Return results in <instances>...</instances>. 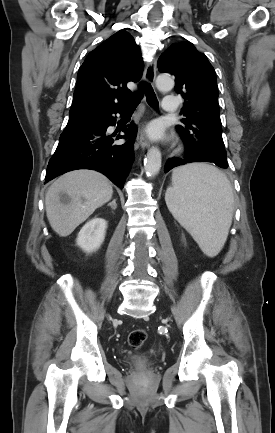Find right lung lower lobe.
<instances>
[{
  "label": "right lung lower lobe",
  "instance_id": "98d812e1",
  "mask_svg": "<svg viewBox=\"0 0 275 433\" xmlns=\"http://www.w3.org/2000/svg\"><path fill=\"white\" fill-rule=\"evenodd\" d=\"M124 108L97 110L68 122L60 136L58 147L51 157L46 181L75 169H92L105 174L119 188L124 182L134 160L136 127H124L125 135H107L106 130L116 123L113 114L123 113ZM127 139L122 145L115 140Z\"/></svg>",
  "mask_w": 275,
  "mask_h": 433
}]
</instances>
